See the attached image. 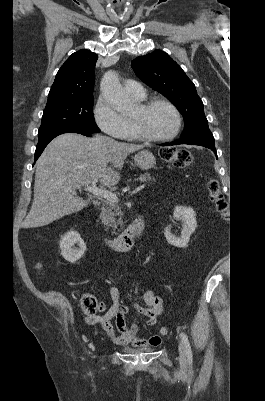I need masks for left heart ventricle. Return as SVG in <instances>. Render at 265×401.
<instances>
[{"instance_id":"1","label":"left heart ventricle","mask_w":265,"mask_h":401,"mask_svg":"<svg viewBox=\"0 0 265 401\" xmlns=\"http://www.w3.org/2000/svg\"><path fill=\"white\" fill-rule=\"evenodd\" d=\"M133 120L139 121L144 132L152 137L169 135L177 126L173 111L164 105H156L145 113L141 111L139 105Z\"/></svg>"}]
</instances>
